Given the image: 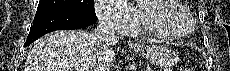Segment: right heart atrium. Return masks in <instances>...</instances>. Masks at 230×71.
<instances>
[{
	"label": "right heart atrium",
	"instance_id": "1",
	"mask_svg": "<svg viewBox=\"0 0 230 71\" xmlns=\"http://www.w3.org/2000/svg\"><path fill=\"white\" fill-rule=\"evenodd\" d=\"M95 11L99 21L118 33L132 32L136 13L125 6L122 0H97Z\"/></svg>",
	"mask_w": 230,
	"mask_h": 71
}]
</instances>
